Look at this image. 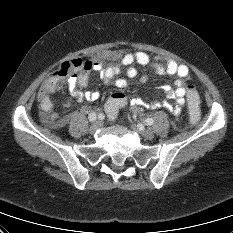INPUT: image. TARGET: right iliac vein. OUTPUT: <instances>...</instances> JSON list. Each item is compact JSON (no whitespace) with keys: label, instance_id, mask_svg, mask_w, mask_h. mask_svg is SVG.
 Here are the masks:
<instances>
[{"label":"right iliac vein","instance_id":"1","mask_svg":"<svg viewBox=\"0 0 233 233\" xmlns=\"http://www.w3.org/2000/svg\"><path fill=\"white\" fill-rule=\"evenodd\" d=\"M101 127V123L99 121L93 123L89 129L91 134H94Z\"/></svg>","mask_w":233,"mask_h":233}]
</instances>
